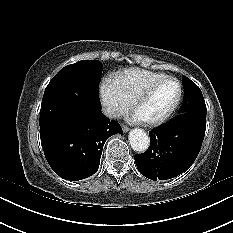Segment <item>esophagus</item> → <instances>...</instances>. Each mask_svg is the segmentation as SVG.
<instances>
[{
  "label": "esophagus",
  "instance_id": "obj_1",
  "mask_svg": "<svg viewBox=\"0 0 233 233\" xmlns=\"http://www.w3.org/2000/svg\"><path fill=\"white\" fill-rule=\"evenodd\" d=\"M123 132L126 133L129 131V127L126 125H122Z\"/></svg>",
  "mask_w": 233,
  "mask_h": 233
}]
</instances>
